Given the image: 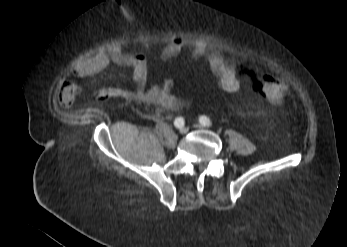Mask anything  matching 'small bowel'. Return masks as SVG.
<instances>
[{
  "label": "small bowel",
  "mask_w": 347,
  "mask_h": 247,
  "mask_svg": "<svg viewBox=\"0 0 347 247\" xmlns=\"http://www.w3.org/2000/svg\"><path fill=\"white\" fill-rule=\"evenodd\" d=\"M187 44L182 38L170 39L163 47L161 56L169 59L181 53ZM193 58L205 57L211 73L217 80L219 87L226 93L236 94L243 85H253L258 91L257 84H252V80L247 76H241L234 62L226 60L221 52L215 48L204 44H194L191 47ZM111 63L128 66L132 70V79L135 83L134 90H127L120 87H108L107 92L127 100L138 101L143 104L153 105L154 112L146 113L145 116L155 122L163 119V111H176L189 105V101L177 97L172 93L174 82L172 79H165L159 84L146 88L148 66L145 54L141 51L126 53L121 47L115 46L110 49H101L89 57L79 60L73 67L77 77L85 78L92 76ZM78 87L74 84H65L57 96L58 105L61 108H70L78 94Z\"/></svg>",
  "instance_id": "obj_1"
}]
</instances>
